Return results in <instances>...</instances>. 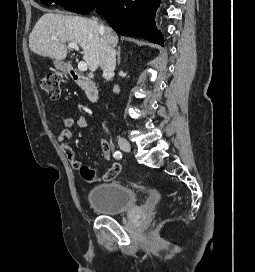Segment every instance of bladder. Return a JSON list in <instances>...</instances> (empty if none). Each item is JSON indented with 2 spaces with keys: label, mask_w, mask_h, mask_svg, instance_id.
Masks as SVG:
<instances>
[{
  "label": "bladder",
  "mask_w": 255,
  "mask_h": 272,
  "mask_svg": "<svg viewBox=\"0 0 255 272\" xmlns=\"http://www.w3.org/2000/svg\"><path fill=\"white\" fill-rule=\"evenodd\" d=\"M87 200L99 214L118 216L137 205V194L126 185L108 182L93 187L87 194Z\"/></svg>",
  "instance_id": "bladder-1"
}]
</instances>
